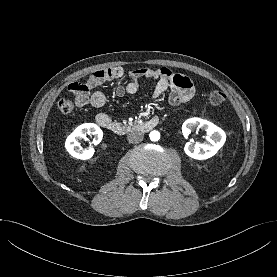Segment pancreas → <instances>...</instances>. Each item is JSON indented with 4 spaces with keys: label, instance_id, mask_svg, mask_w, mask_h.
<instances>
[{
    "label": "pancreas",
    "instance_id": "obj_1",
    "mask_svg": "<svg viewBox=\"0 0 277 277\" xmlns=\"http://www.w3.org/2000/svg\"><path fill=\"white\" fill-rule=\"evenodd\" d=\"M129 126L131 127V129H138L140 127L138 121H135L134 124L130 123Z\"/></svg>",
    "mask_w": 277,
    "mask_h": 277
}]
</instances>
